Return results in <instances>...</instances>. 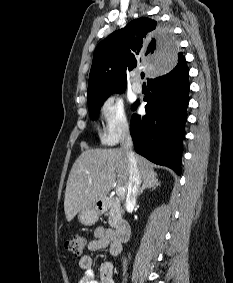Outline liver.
Listing matches in <instances>:
<instances>
[{"label":"liver","mask_w":233,"mask_h":283,"mask_svg":"<svg viewBox=\"0 0 233 283\" xmlns=\"http://www.w3.org/2000/svg\"><path fill=\"white\" fill-rule=\"evenodd\" d=\"M141 179L145 182L155 175L153 164L135 155ZM130 167L124 149H88L74 162L65 190L64 211L70 222L87 206L103 200L113 187L116 177L126 190L129 185Z\"/></svg>","instance_id":"1"}]
</instances>
